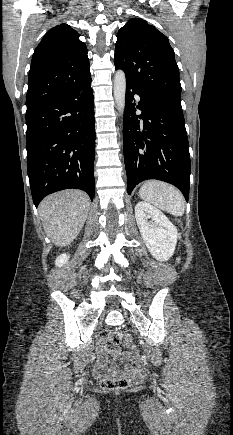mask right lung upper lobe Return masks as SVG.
Instances as JSON below:
<instances>
[{"label":"right lung upper lobe","mask_w":233,"mask_h":435,"mask_svg":"<svg viewBox=\"0 0 233 435\" xmlns=\"http://www.w3.org/2000/svg\"><path fill=\"white\" fill-rule=\"evenodd\" d=\"M67 24L50 29L32 57L27 109L45 102L90 73L87 48Z\"/></svg>","instance_id":"1"}]
</instances>
